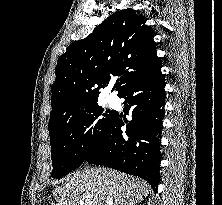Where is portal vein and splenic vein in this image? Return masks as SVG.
Masks as SVG:
<instances>
[{
    "instance_id": "1",
    "label": "portal vein and splenic vein",
    "mask_w": 222,
    "mask_h": 205,
    "mask_svg": "<svg viewBox=\"0 0 222 205\" xmlns=\"http://www.w3.org/2000/svg\"><path fill=\"white\" fill-rule=\"evenodd\" d=\"M84 204V202H81V205H83Z\"/></svg>"
}]
</instances>
